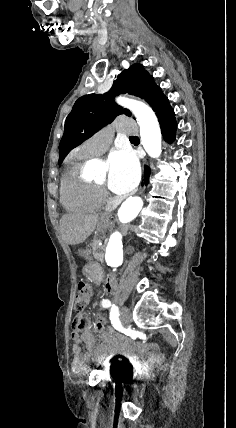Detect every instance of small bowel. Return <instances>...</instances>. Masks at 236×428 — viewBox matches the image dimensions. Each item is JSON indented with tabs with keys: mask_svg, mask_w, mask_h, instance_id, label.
<instances>
[{
	"mask_svg": "<svg viewBox=\"0 0 236 428\" xmlns=\"http://www.w3.org/2000/svg\"><path fill=\"white\" fill-rule=\"evenodd\" d=\"M105 290L114 293L117 290L116 280L107 279ZM75 362L102 361L107 358H121L138 368H147L163 361L157 345L147 342H133L114 332L106 331L104 327L92 324L84 319V326L80 333H71ZM80 344H84L82 350Z\"/></svg>",
	"mask_w": 236,
	"mask_h": 428,
	"instance_id": "small-bowel-1",
	"label": "small bowel"
}]
</instances>
